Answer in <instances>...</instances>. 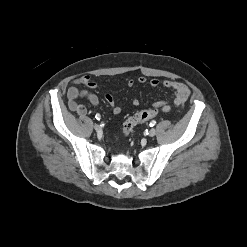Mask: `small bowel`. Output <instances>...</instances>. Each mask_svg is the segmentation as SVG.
I'll list each match as a JSON object with an SVG mask.
<instances>
[{"instance_id": "c3829d8e", "label": "small bowel", "mask_w": 247, "mask_h": 247, "mask_svg": "<svg viewBox=\"0 0 247 247\" xmlns=\"http://www.w3.org/2000/svg\"><path fill=\"white\" fill-rule=\"evenodd\" d=\"M146 82V77L141 76L136 80H128L127 85L129 87H132L135 83L144 84ZM160 83L161 82L157 78H152L149 80V84L151 87H157L160 85ZM162 85L173 91V100L171 102L162 100L157 101L154 103V107L160 109L163 112H169L172 108L180 110L184 106L185 102L187 101L190 95L189 88L184 83L173 80H164L162 82ZM79 86H84L89 89H95L97 87V82L93 80L90 76L84 75L75 79L71 83L67 91L68 106L70 110L75 112L79 116H84L87 113V109L83 104H80L78 102L79 99L86 98L91 105L98 106L99 98L96 94L92 92H89L87 90H80ZM105 98L114 114H119L122 111V106L115 104V101L110 94H106ZM132 104L134 106H138L140 104L139 99L134 98L132 100Z\"/></svg>"}]
</instances>
